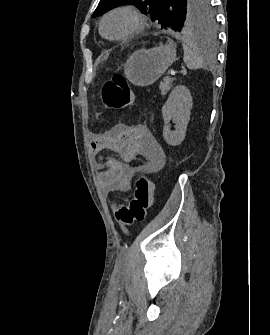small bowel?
Returning a JSON list of instances; mask_svg holds the SVG:
<instances>
[{"mask_svg": "<svg viewBox=\"0 0 270 335\" xmlns=\"http://www.w3.org/2000/svg\"><path fill=\"white\" fill-rule=\"evenodd\" d=\"M91 149L94 154L113 152L120 157H100L96 162L97 168H105L98 173V181L110 192L131 190L132 179L137 171L131 162L137 156H143L147 160L144 169L148 172L162 168L166 162L162 146L142 123H121L109 132L93 135Z\"/></svg>", "mask_w": 270, "mask_h": 335, "instance_id": "1", "label": "small bowel"}]
</instances>
